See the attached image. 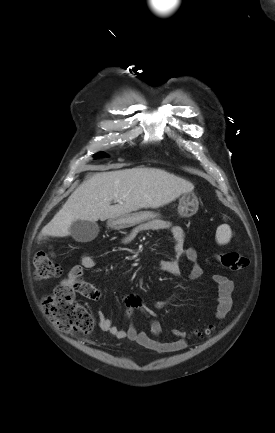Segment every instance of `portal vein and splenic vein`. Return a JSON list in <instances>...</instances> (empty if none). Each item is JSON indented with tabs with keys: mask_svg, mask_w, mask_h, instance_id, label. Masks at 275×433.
I'll list each match as a JSON object with an SVG mask.
<instances>
[{
	"mask_svg": "<svg viewBox=\"0 0 275 433\" xmlns=\"http://www.w3.org/2000/svg\"><path fill=\"white\" fill-rule=\"evenodd\" d=\"M116 201H117V202H120V200H119V199H116Z\"/></svg>",
	"mask_w": 275,
	"mask_h": 433,
	"instance_id": "1",
	"label": "portal vein and splenic vein"
}]
</instances>
